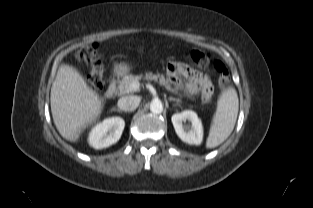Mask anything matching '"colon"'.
Listing matches in <instances>:
<instances>
[{"label": "colon", "instance_id": "5ec220e1", "mask_svg": "<svg viewBox=\"0 0 313 208\" xmlns=\"http://www.w3.org/2000/svg\"><path fill=\"white\" fill-rule=\"evenodd\" d=\"M78 55L81 59L86 60L91 64L92 71L90 74V80L95 87L101 88L104 84V80L98 52V44L92 43L81 48ZM191 59L200 66H206L209 63V57L205 53L198 50H193L191 52ZM214 68L218 74L219 85L222 87L226 86L230 81L229 72L226 66L221 61L216 60L214 62Z\"/></svg>", "mask_w": 313, "mask_h": 208}]
</instances>
